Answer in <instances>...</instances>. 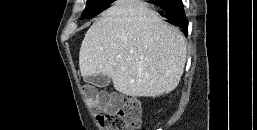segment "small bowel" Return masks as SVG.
Returning <instances> with one entry per match:
<instances>
[{
    "instance_id": "1",
    "label": "small bowel",
    "mask_w": 257,
    "mask_h": 130,
    "mask_svg": "<svg viewBox=\"0 0 257 130\" xmlns=\"http://www.w3.org/2000/svg\"><path fill=\"white\" fill-rule=\"evenodd\" d=\"M88 104L98 111H108L118 107L121 97L115 93L99 92L94 89L92 96H86Z\"/></svg>"
}]
</instances>
